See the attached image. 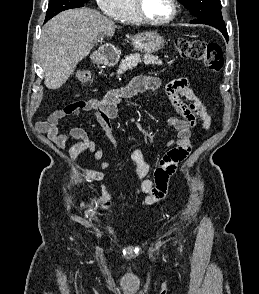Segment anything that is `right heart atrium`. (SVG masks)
Returning a JSON list of instances; mask_svg holds the SVG:
<instances>
[{"label": "right heart atrium", "mask_w": 259, "mask_h": 294, "mask_svg": "<svg viewBox=\"0 0 259 294\" xmlns=\"http://www.w3.org/2000/svg\"><path fill=\"white\" fill-rule=\"evenodd\" d=\"M122 0H96L97 6L101 12L108 17H116Z\"/></svg>", "instance_id": "1"}]
</instances>
